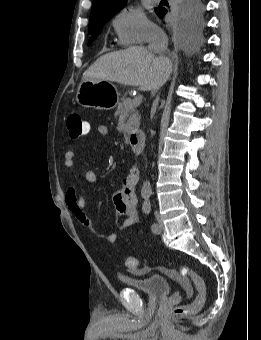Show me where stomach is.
Returning a JSON list of instances; mask_svg holds the SVG:
<instances>
[{"mask_svg":"<svg viewBox=\"0 0 261 340\" xmlns=\"http://www.w3.org/2000/svg\"><path fill=\"white\" fill-rule=\"evenodd\" d=\"M76 101L82 107L111 110L119 103L120 93L110 81L87 79L80 83Z\"/></svg>","mask_w":261,"mask_h":340,"instance_id":"1","label":"stomach"}]
</instances>
